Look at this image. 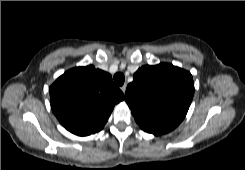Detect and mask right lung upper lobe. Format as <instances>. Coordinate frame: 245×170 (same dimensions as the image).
Here are the masks:
<instances>
[{"label":"right lung upper lobe","mask_w":245,"mask_h":170,"mask_svg":"<svg viewBox=\"0 0 245 170\" xmlns=\"http://www.w3.org/2000/svg\"><path fill=\"white\" fill-rule=\"evenodd\" d=\"M49 92L53 113L77 136L100 131L115 104L124 98L112 76L92 65L68 70L51 85Z\"/></svg>","instance_id":"1"}]
</instances>
